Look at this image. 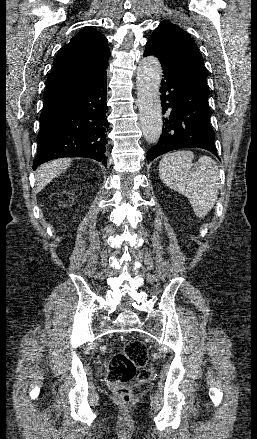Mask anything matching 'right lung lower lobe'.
<instances>
[{
  "mask_svg": "<svg viewBox=\"0 0 257 439\" xmlns=\"http://www.w3.org/2000/svg\"><path fill=\"white\" fill-rule=\"evenodd\" d=\"M107 74L44 97L33 169L52 159L87 157L107 166Z\"/></svg>",
  "mask_w": 257,
  "mask_h": 439,
  "instance_id": "right-lung-lower-lobe-1",
  "label": "right lung lower lobe"
}]
</instances>
